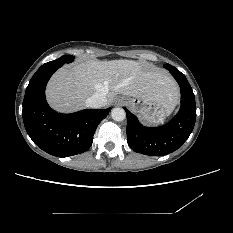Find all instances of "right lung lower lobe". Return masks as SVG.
<instances>
[{
    "mask_svg": "<svg viewBox=\"0 0 233 233\" xmlns=\"http://www.w3.org/2000/svg\"><path fill=\"white\" fill-rule=\"evenodd\" d=\"M61 65L42 67L31 78L23 100V122L33 142L43 151L57 157H68L87 151L98 124L110 108L85 109L61 114L49 107L45 88Z\"/></svg>",
    "mask_w": 233,
    "mask_h": 233,
    "instance_id": "1",
    "label": "right lung lower lobe"
}]
</instances>
